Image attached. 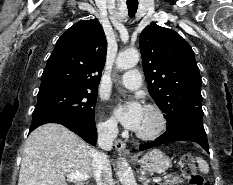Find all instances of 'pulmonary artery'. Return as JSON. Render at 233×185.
<instances>
[{"label":"pulmonary artery","instance_id":"pulmonary-artery-1","mask_svg":"<svg viewBox=\"0 0 233 185\" xmlns=\"http://www.w3.org/2000/svg\"><path fill=\"white\" fill-rule=\"evenodd\" d=\"M119 84L127 89L135 90L142 85V75L138 69H130L123 73L119 79Z\"/></svg>","mask_w":233,"mask_h":185}]
</instances>
